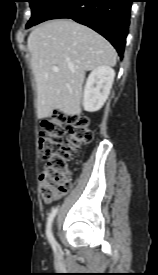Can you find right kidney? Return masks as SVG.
<instances>
[{
	"label": "right kidney",
	"mask_w": 158,
	"mask_h": 275,
	"mask_svg": "<svg viewBox=\"0 0 158 275\" xmlns=\"http://www.w3.org/2000/svg\"><path fill=\"white\" fill-rule=\"evenodd\" d=\"M115 71L106 65L95 68L87 78L84 94L83 107L85 111H98L105 103L110 93Z\"/></svg>",
	"instance_id": "right-kidney-1"
}]
</instances>
